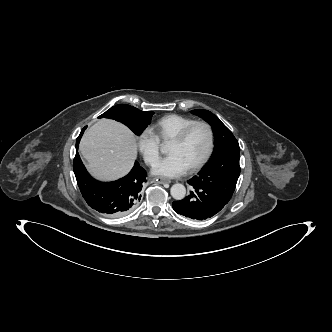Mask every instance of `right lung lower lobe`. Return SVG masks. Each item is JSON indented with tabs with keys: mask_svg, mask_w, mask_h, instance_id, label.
Here are the masks:
<instances>
[{
	"mask_svg": "<svg viewBox=\"0 0 332 332\" xmlns=\"http://www.w3.org/2000/svg\"><path fill=\"white\" fill-rule=\"evenodd\" d=\"M86 128V127H85ZM85 128L76 141V150ZM73 170L80 191L93 209L107 217H121L132 212L141 200L142 183L146 172L135 162L131 172L114 182H100L92 178L86 171L80 156L76 153Z\"/></svg>",
	"mask_w": 332,
	"mask_h": 332,
	"instance_id": "1",
	"label": "right lung lower lobe"
}]
</instances>
